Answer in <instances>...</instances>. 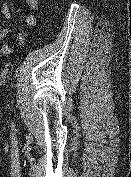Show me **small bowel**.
I'll list each match as a JSON object with an SVG mask.
<instances>
[{
	"mask_svg": "<svg viewBox=\"0 0 131 177\" xmlns=\"http://www.w3.org/2000/svg\"><path fill=\"white\" fill-rule=\"evenodd\" d=\"M28 7L32 11L38 10V0H26ZM1 14L4 18L9 19L11 17V11L9 4L6 0L2 1ZM25 23L29 26H35L37 24V16L34 13L27 14L24 18ZM11 30L8 28H0V41L11 35ZM19 38V37H18ZM13 53V49L8 44L4 43L0 46V55L8 56Z\"/></svg>",
	"mask_w": 131,
	"mask_h": 177,
	"instance_id": "small-bowel-1",
	"label": "small bowel"
}]
</instances>
